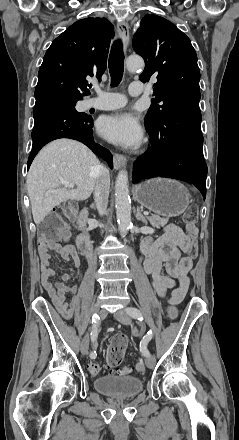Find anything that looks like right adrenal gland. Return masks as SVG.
Returning a JSON list of instances; mask_svg holds the SVG:
<instances>
[{
  "mask_svg": "<svg viewBox=\"0 0 239 440\" xmlns=\"http://www.w3.org/2000/svg\"><path fill=\"white\" fill-rule=\"evenodd\" d=\"M90 208H92V210H96L95 204H91Z\"/></svg>",
  "mask_w": 239,
  "mask_h": 440,
  "instance_id": "1",
  "label": "right adrenal gland"
}]
</instances>
